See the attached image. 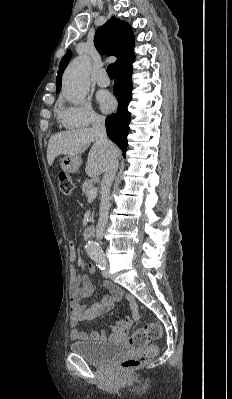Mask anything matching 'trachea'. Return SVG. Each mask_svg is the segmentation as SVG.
Here are the masks:
<instances>
[{
    "instance_id": "3493384b",
    "label": "trachea",
    "mask_w": 232,
    "mask_h": 399,
    "mask_svg": "<svg viewBox=\"0 0 232 399\" xmlns=\"http://www.w3.org/2000/svg\"><path fill=\"white\" fill-rule=\"evenodd\" d=\"M107 73H108L109 77H115L114 65L113 64L108 65Z\"/></svg>"
}]
</instances>
